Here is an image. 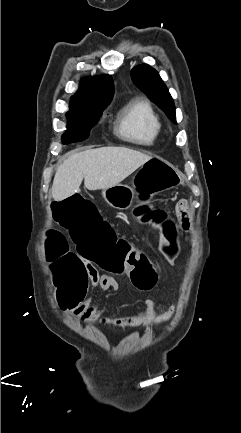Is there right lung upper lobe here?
Wrapping results in <instances>:
<instances>
[{
	"instance_id": "1",
	"label": "right lung upper lobe",
	"mask_w": 241,
	"mask_h": 433,
	"mask_svg": "<svg viewBox=\"0 0 241 433\" xmlns=\"http://www.w3.org/2000/svg\"><path fill=\"white\" fill-rule=\"evenodd\" d=\"M114 93L111 76L91 77L82 80L80 89L72 96L71 104L108 105Z\"/></svg>"
}]
</instances>
